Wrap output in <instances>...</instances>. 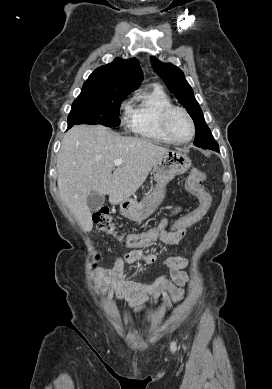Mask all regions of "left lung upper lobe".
<instances>
[{
  "label": "left lung upper lobe",
  "instance_id": "obj_1",
  "mask_svg": "<svg viewBox=\"0 0 272 389\" xmlns=\"http://www.w3.org/2000/svg\"><path fill=\"white\" fill-rule=\"evenodd\" d=\"M155 72L163 79L167 88L176 96L192 117L196 130L194 144L200 148L212 149L217 143L205 123L202 110L196 101L191 86L185 79L184 73L171 63H162L151 57Z\"/></svg>",
  "mask_w": 272,
  "mask_h": 389
}]
</instances>
